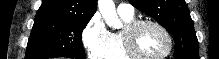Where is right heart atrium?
Returning <instances> with one entry per match:
<instances>
[{
    "mask_svg": "<svg viewBox=\"0 0 219 59\" xmlns=\"http://www.w3.org/2000/svg\"><path fill=\"white\" fill-rule=\"evenodd\" d=\"M110 31L99 15H94L82 32V44L90 59H102L108 49Z\"/></svg>",
    "mask_w": 219,
    "mask_h": 59,
    "instance_id": "obj_1",
    "label": "right heart atrium"
}]
</instances>
